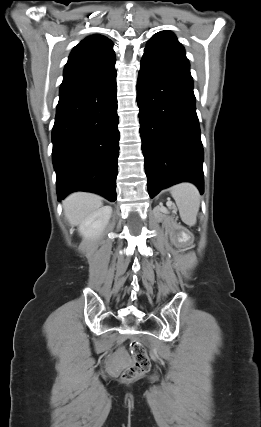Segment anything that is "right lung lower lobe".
Returning a JSON list of instances; mask_svg holds the SVG:
<instances>
[{
	"label": "right lung lower lobe",
	"mask_w": 261,
	"mask_h": 427,
	"mask_svg": "<svg viewBox=\"0 0 261 427\" xmlns=\"http://www.w3.org/2000/svg\"><path fill=\"white\" fill-rule=\"evenodd\" d=\"M116 70L60 90L52 130L58 200L73 191L116 200Z\"/></svg>",
	"instance_id": "obj_1"
}]
</instances>
